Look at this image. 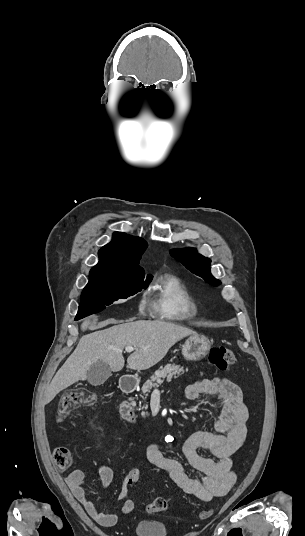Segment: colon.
Instances as JSON below:
<instances>
[{
  "mask_svg": "<svg viewBox=\"0 0 305 536\" xmlns=\"http://www.w3.org/2000/svg\"><path fill=\"white\" fill-rule=\"evenodd\" d=\"M209 361L219 369H226L235 362V356L232 350L224 345L215 346L209 352ZM97 396L94 392L85 389H71L63 393L59 405L58 416L60 419L67 418L72 411L82 405H93L96 403ZM53 459L60 466L62 471H75L77 463L70 460L69 449L65 445L57 446L53 451ZM139 470L132 468L130 474L126 476L128 485L133 486L139 480ZM168 509V503L163 498H156L147 505L148 512H164ZM212 516V510L199 512L198 517L202 520Z\"/></svg>",
  "mask_w": 305,
  "mask_h": 536,
  "instance_id": "5ec220e1",
  "label": "colon"
}]
</instances>
